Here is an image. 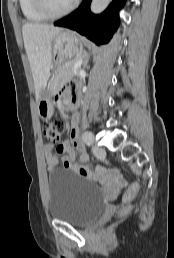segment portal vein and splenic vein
I'll return each mask as SVG.
<instances>
[{
  "label": "portal vein and splenic vein",
  "instance_id": "portal-vein-and-splenic-vein-1",
  "mask_svg": "<svg viewBox=\"0 0 174 258\" xmlns=\"http://www.w3.org/2000/svg\"><path fill=\"white\" fill-rule=\"evenodd\" d=\"M81 64H82V60H79L77 63H75V65L73 66V69L79 68Z\"/></svg>",
  "mask_w": 174,
  "mask_h": 258
}]
</instances>
